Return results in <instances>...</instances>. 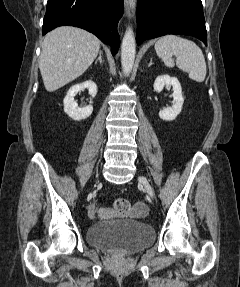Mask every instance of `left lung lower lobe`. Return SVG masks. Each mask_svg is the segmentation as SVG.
I'll use <instances>...</instances> for the list:
<instances>
[{"mask_svg":"<svg viewBox=\"0 0 240 287\" xmlns=\"http://www.w3.org/2000/svg\"><path fill=\"white\" fill-rule=\"evenodd\" d=\"M166 34L194 36L207 46L201 0H138L137 44Z\"/></svg>","mask_w":240,"mask_h":287,"instance_id":"obj_1","label":"left lung lower lobe"}]
</instances>
